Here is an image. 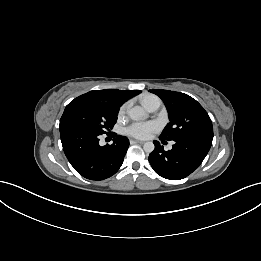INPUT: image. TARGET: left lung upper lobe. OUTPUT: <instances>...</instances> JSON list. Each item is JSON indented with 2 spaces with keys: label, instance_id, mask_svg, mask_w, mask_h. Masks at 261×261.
<instances>
[{
  "label": "left lung upper lobe",
  "instance_id": "5c2ea615",
  "mask_svg": "<svg viewBox=\"0 0 261 261\" xmlns=\"http://www.w3.org/2000/svg\"><path fill=\"white\" fill-rule=\"evenodd\" d=\"M165 103L170 122L164 128L160 138L177 140L197 138L213 140V126L208 113L187 94L169 90H149Z\"/></svg>",
  "mask_w": 261,
  "mask_h": 261
}]
</instances>
